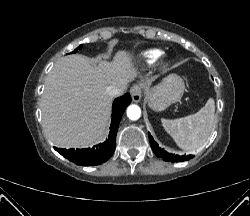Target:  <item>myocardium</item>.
<instances>
[{
	"instance_id": "1",
	"label": "myocardium",
	"mask_w": 250,
	"mask_h": 216,
	"mask_svg": "<svg viewBox=\"0 0 250 216\" xmlns=\"http://www.w3.org/2000/svg\"><path fill=\"white\" fill-rule=\"evenodd\" d=\"M168 66V63L163 64V68H166Z\"/></svg>"
}]
</instances>
